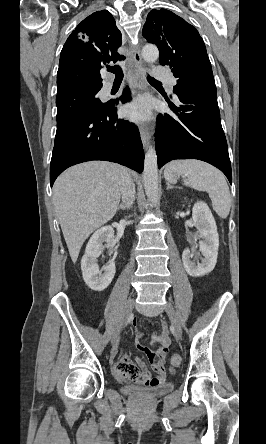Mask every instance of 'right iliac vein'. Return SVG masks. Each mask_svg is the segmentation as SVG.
Returning <instances> with one entry per match:
<instances>
[{
    "instance_id": "63e3f726",
    "label": "right iliac vein",
    "mask_w": 266,
    "mask_h": 444,
    "mask_svg": "<svg viewBox=\"0 0 266 444\" xmlns=\"http://www.w3.org/2000/svg\"><path fill=\"white\" fill-rule=\"evenodd\" d=\"M134 299H129L126 307L123 311L122 317L116 327L114 336H113V341H115V339L120 335L121 330L125 327V325L127 324V321L129 319V317L132 314L133 308H134Z\"/></svg>"
}]
</instances>
